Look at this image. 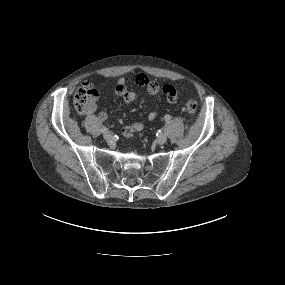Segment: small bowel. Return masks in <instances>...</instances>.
<instances>
[{"label": "small bowel", "instance_id": "small-bowel-1", "mask_svg": "<svg viewBox=\"0 0 285 285\" xmlns=\"http://www.w3.org/2000/svg\"><path fill=\"white\" fill-rule=\"evenodd\" d=\"M137 84L144 87L150 95H158L163 94L166 98L168 104L172 105L177 103L182 93V88L174 87L172 85H165L160 87V85L150 77L145 74H140L136 78ZM115 94L122 98V100L126 104H131L136 101L137 95L134 91L130 90L127 86V81L125 78H120L117 81V84L114 89ZM98 99L99 94L97 93L94 97L91 98L85 112L88 115H93L97 113L98 110ZM157 111L153 110L148 113L147 118L150 121H153L157 118ZM97 118L101 122H105L108 119V114L104 111L97 113ZM132 128L135 131H141L144 128V124L142 122H135L132 124Z\"/></svg>", "mask_w": 285, "mask_h": 285}]
</instances>
